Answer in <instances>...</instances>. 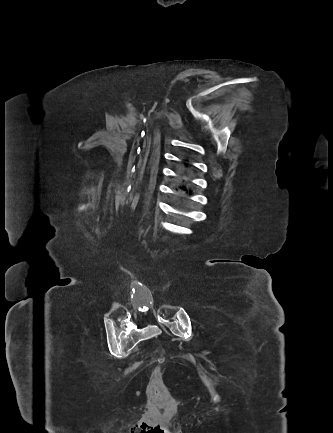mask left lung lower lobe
I'll return each instance as SVG.
<instances>
[{
	"label": "left lung lower lobe",
	"mask_w": 333,
	"mask_h": 433,
	"mask_svg": "<svg viewBox=\"0 0 333 433\" xmlns=\"http://www.w3.org/2000/svg\"><path fill=\"white\" fill-rule=\"evenodd\" d=\"M184 166L189 167V164L188 163H184Z\"/></svg>",
	"instance_id": "left-lung-lower-lobe-1"
}]
</instances>
